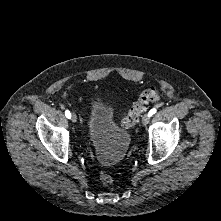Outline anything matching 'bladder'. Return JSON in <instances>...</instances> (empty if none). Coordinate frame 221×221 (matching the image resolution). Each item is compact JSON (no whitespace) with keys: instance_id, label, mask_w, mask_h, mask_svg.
<instances>
[{"instance_id":"obj_1","label":"bladder","mask_w":221,"mask_h":221,"mask_svg":"<svg viewBox=\"0 0 221 221\" xmlns=\"http://www.w3.org/2000/svg\"><path fill=\"white\" fill-rule=\"evenodd\" d=\"M88 137L98 160L105 166H114L123 160L130 147V134L114 121L108 102L94 99L88 116Z\"/></svg>"}]
</instances>
